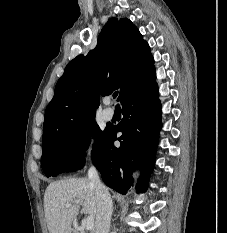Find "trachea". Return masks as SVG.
I'll list each match as a JSON object with an SVG mask.
<instances>
[{
	"label": "trachea",
	"instance_id": "trachea-1",
	"mask_svg": "<svg viewBox=\"0 0 227 233\" xmlns=\"http://www.w3.org/2000/svg\"><path fill=\"white\" fill-rule=\"evenodd\" d=\"M117 95H118V92H115V93L113 94V98H116Z\"/></svg>",
	"mask_w": 227,
	"mask_h": 233
}]
</instances>
